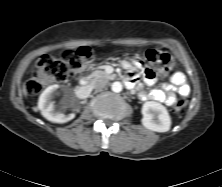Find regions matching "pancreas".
Here are the masks:
<instances>
[{
  "label": "pancreas",
  "mask_w": 222,
  "mask_h": 187,
  "mask_svg": "<svg viewBox=\"0 0 222 187\" xmlns=\"http://www.w3.org/2000/svg\"><path fill=\"white\" fill-rule=\"evenodd\" d=\"M93 78L113 79L115 76L107 74L105 71L97 70L91 74Z\"/></svg>",
  "instance_id": "obj_1"
}]
</instances>
